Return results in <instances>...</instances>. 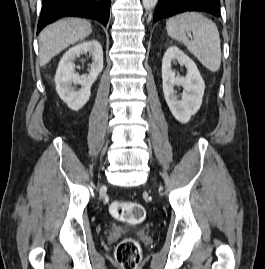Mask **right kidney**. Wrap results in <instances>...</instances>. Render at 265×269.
<instances>
[{"mask_svg":"<svg viewBox=\"0 0 265 269\" xmlns=\"http://www.w3.org/2000/svg\"><path fill=\"white\" fill-rule=\"evenodd\" d=\"M92 57L89 74L79 76L75 72L74 60L82 54ZM103 69V50L96 40L85 41L70 48L61 58L55 75L56 91L67 106L74 110H80L89 100L91 86L96 81ZM81 85L80 89L72 86Z\"/></svg>","mask_w":265,"mask_h":269,"instance_id":"1","label":"right kidney"}]
</instances>
